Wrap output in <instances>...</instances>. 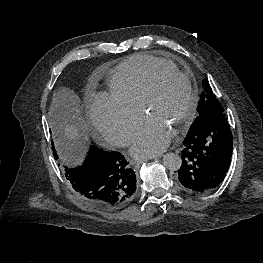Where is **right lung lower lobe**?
I'll use <instances>...</instances> for the list:
<instances>
[{"mask_svg": "<svg viewBox=\"0 0 263 263\" xmlns=\"http://www.w3.org/2000/svg\"><path fill=\"white\" fill-rule=\"evenodd\" d=\"M65 176L86 202L104 209L127 205L136 190V175L124 156L94 146L83 164L68 167Z\"/></svg>", "mask_w": 263, "mask_h": 263, "instance_id": "obj_1", "label": "right lung lower lobe"}]
</instances>
